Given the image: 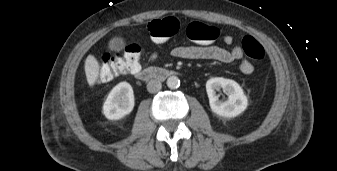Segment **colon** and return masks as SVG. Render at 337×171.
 <instances>
[{
  "mask_svg": "<svg viewBox=\"0 0 337 171\" xmlns=\"http://www.w3.org/2000/svg\"><path fill=\"white\" fill-rule=\"evenodd\" d=\"M149 40L154 45H162L167 39L179 32V21L174 17L153 20L148 24ZM191 41L199 44H211L218 35L217 27L201 22H191L186 30ZM242 49L253 60L261 61L264 48L261 43L251 35L242 39ZM141 49L138 45H130L124 51L105 54L101 60V68L97 82H109L117 77L136 73L140 68Z\"/></svg>",
  "mask_w": 337,
  "mask_h": 171,
  "instance_id": "5ec220e1",
  "label": "colon"
}]
</instances>
